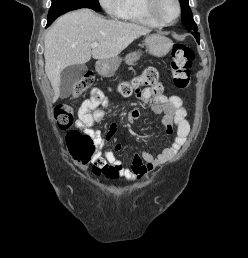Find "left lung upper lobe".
Masks as SVG:
<instances>
[{"instance_id":"left-lung-upper-lobe-1","label":"left lung upper lobe","mask_w":248,"mask_h":258,"mask_svg":"<svg viewBox=\"0 0 248 258\" xmlns=\"http://www.w3.org/2000/svg\"><path fill=\"white\" fill-rule=\"evenodd\" d=\"M181 4L182 21L188 31H197V25L195 24L192 16V12L189 8L188 0H179Z\"/></svg>"}]
</instances>
